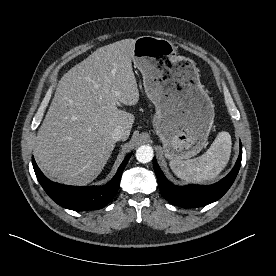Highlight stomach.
Masks as SVG:
<instances>
[{"instance_id": "obj_1", "label": "stomach", "mask_w": 276, "mask_h": 276, "mask_svg": "<svg viewBox=\"0 0 276 276\" xmlns=\"http://www.w3.org/2000/svg\"><path fill=\"white\" fill-rule=\"evenodd\" d=\"M132 61L143 75L147 97L155 105L153 127L169 160L189 159L205 146L214 122V105L195 63L166 39L141 36Z\"/></svg>"}]
</instances>
